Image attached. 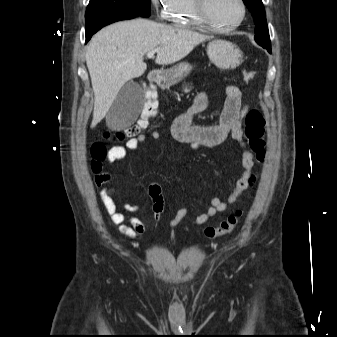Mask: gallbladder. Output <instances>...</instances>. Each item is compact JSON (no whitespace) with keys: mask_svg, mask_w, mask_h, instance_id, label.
Returning a JSON list of instances; mask_svg holds the SVG:
<instances>
[{"mask_svg":"<svg viewBox=\"0 0 337 337\" xmlns=\"http://www.w3.org/2000/svg\"><path fill=\"white\" fill-rule=\"evenodd\" d=\"M144 96L141 87L130 81L119 91L106 120L113 130H120L133 124L143 108Z\"/></svg>","mask_w":337,"mask_h":337,"instance_id":"bac80fb5","label":"gallbladder"}]
</instances>
